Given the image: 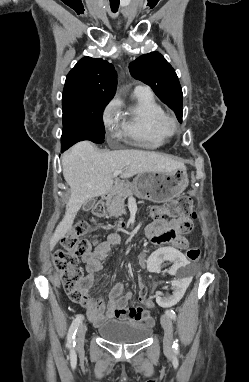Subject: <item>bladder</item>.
<instances>
[{
  "label": "bladder",
  "instance_id": "1",
  "mask_svg": "<svg viewBox=\"0 0 249 382\" xmlns=\"http://www.w3.org/2000/svg\"><path fill=\"white\" fill-rule=\"evenodd\" d=\"M150 326L110 319L98 327L100 337L108 342L132 344L144 341L151 333Z\"/></svg>",
  "mask_w": 249,
  "mask_h": 382
}]
</instances>
